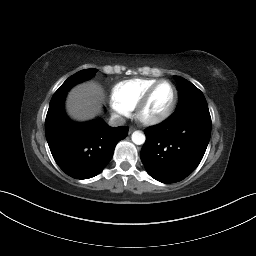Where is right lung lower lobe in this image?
Segmentation results:
<instances>
[{
  "label": "right lung lower lobe",
  "instance_id": "1",
  "mask_svg": "<svg viewBox=\"0 0 256 256\" xmlns=\"http://www.w3.org/2000/svg\"><path fill=\"white\" fill-rule=\"evenodd\" d=\"M64 99L65 96L54 98L49 104L45 134L50 151L67 175L92 178L109 163L116 144L128 135V128H112L101 119L72 122L64 112Z\"/></svg>",
  "mask_w": 256,
  "mask_h": 256
}]
</instances>
